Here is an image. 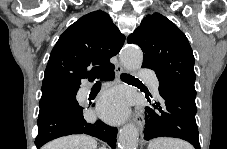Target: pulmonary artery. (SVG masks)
Here are the masks:
<instances>
[{"label": "pulmonary artery", "mask_w": 227, "mask_h": 149, "mask_svg": "<svg viewBox=\"0 0 227 149\" xmlns=\"http://www.w3.org/2000/svg\"><path fill=\"white\" fill-rule=\"evenodd\" d=\"M138 79L147 81L154 91H158L159 82L149 69L146 68L139 69Z\"/></svg>", "instance_id": "e3ab8cb5"}]
</instances>
